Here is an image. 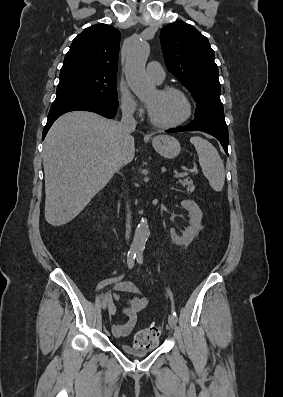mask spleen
I'll return each instance as SVG.
<instances>
[{"instance_id": "obj_1", "label": "spleen", "mask_w": 283, "mask_h": 397, "mask_svg": "<svg viewBox=\"0 0 283 397\" xmlns=\"http://www.w3.org/2000/svg\"><path fill=\"white\" fill-rule=\"evenodd\" d=\"M190 142L197 151L202 172L210 186L215 191H221L224 186L225 171L218 151L209 141L199 136L192 137Z\"/></svg>"}]
</instances>
